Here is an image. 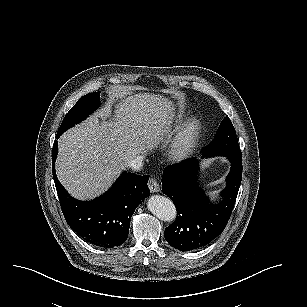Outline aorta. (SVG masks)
Returning a JSON list of instances; mask_svg holds the SVG:
<instances>
[{
	"instance_id": "aorta-1",
	"label": "aorta",
	"mask_w": 307,
	"mask_h": 307,
	"mask_svg": "<svg viewBox=\"0 0 307 307\" xmlns=\"http://www.w3.org/2000/svg\"><path fill=\"white\" fill-rule=\"evenodd\" d=\"M147 209L158 219L166 222L174 221L177 215L174 203L161 195H152L147 201Z\"/></svg>"
}]
</instances>
